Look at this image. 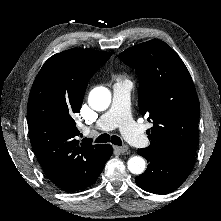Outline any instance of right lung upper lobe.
I'll list each match as a JSON object with an SVG mask.
<instances>
[{
    "mask_svg": "<svg viewBox=\"0 0 221 221\" xmlns=\"http://www.w3.org/2000/svg\"><path fill=\"white\" fill-rule=\"evenodd\" d=\"M110 56L82 48L57 53L42 66L30 91L31 145L49 179L67 192L90 186L104 161L105 144L77 140L72 116L81 109L89 79Z\"/></svg>",
    "mask_w": 221,
    "mask_h": 221,
    "instance_id": "obj_1",
    "label": "right lung upper lobe"
}]
</instances>
